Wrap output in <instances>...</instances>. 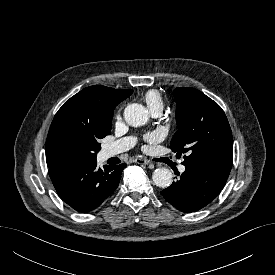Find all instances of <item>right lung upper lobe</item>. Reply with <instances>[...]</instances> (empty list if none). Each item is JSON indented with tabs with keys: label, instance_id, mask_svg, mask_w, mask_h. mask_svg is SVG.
<instances>
[{
	"label": "right lung upper lobe",
	"instance_id": "cb5924a9",
	"mask_svg": "<svg viewBox=\"0 0 275 275\" xmlns=\"http://www.w3.org/2000/svg\"><path fill=\"white\" fill-rule=\"evenodd\" d=\"M132 92L94 85L66 101L54 116L48 132L46 162L49 169L57 166L51 158V146L59 133L65 130L107 132L112 127L114 108Z\"/></svg>",
	"mask_w": 275,
	"mask_h": 275
}]
</instances>
